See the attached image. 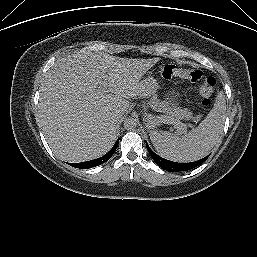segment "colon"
<instances>
[{
  "label": "colon",
  "instance_id": "1",
  "mask_svg": "<svg viewBox=\"0 0 257 257\" xmlns=\"http://www.w3.org/2000/svg\"><path fill=\"white\" fill-rule=\"evenodd\" d=\"M160 74L165 79L183 78L191 82H199L203 79V74L198 70L182 69L172 64H164L159 69ZM216 79L212 76H208L203 79L199 94L201 97V105L208 107L212 101V97L215 92Z\"/></svg>",
  "mask_w": 257,
  "mask_h": 257
}]
</instances>
